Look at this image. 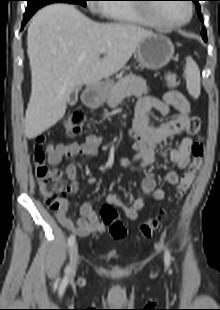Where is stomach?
Masks as SVG:
<instances>
[{
  "mask_svg": "<svg viewBox=\"0 0 220 310\" xmlns=\"http://www.w3.org/2000/svg\"><path fill=\"white\" fill-rule=\"evenodd\" d=\"M135 55L143 68L158 70L169 63L174 55V45L164 35H151L144 38L138 45ZM111 83L89 90V98L85 100L90 106H97L103 102Z\"/></svg>",
  "mask_w": 220,
  "mask_h": 310,
  "instance_id": "stomach-1",
  "label": "stomach"
}]
</instances>
